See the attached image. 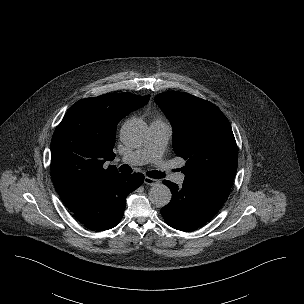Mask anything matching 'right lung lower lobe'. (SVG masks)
Here are the masks:
<instances>
[{"label": "right lung lower lobe", "instance_id": "98d812e1", "mask_svg": "<svg viewBox=\"0 0 304 304\" xmlns=\"http://www.w3.org/2000/svg\"><path fill=\"white\" fill-rule=\"evenodd\" d=\"M144 181L141 173H114L103 180L94 194L77 210L75 218L94 230H107L121 220L126 207V196Z\"/></svg>", "mask_w": 304, "mask_h": 304}]
</instances>
